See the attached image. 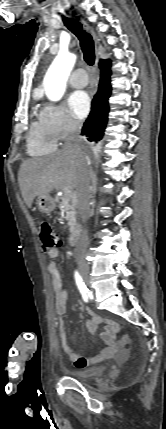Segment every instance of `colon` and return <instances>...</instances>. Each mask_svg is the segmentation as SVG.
<instances>
[{
	"mask_svg": "<svg viewBox=\"0 0 166 429\" xmlns=\"http://www.w3.org/2000/svg\"><path fill=\"white\" fill-rule=\"evenodd\" d=\"M40 238L42 241L43 250L49 252L50 250L57 248L61 245L60 236L52 229L51 225L46 221H41L39 224ZM128 342V336L123 335L119 344L125 346Z\"/></svg>",
	"mask_w": 166,
	"mask_h": 429,
	"instance_id": "colon-1",
	"label": "colon"
}]
</instances>
